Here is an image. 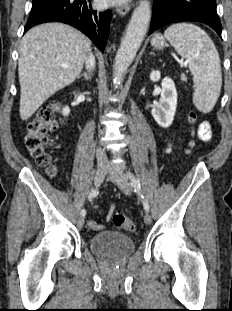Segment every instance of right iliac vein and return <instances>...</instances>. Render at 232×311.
<instances>
[{
    "instance_id": "obj_1",
    "label": "right iliac vein",
    "mask_w": 232,
    "mask_h": 311,
    "mask_svg": "<svg viewBox=\"0 0 232 311\" xmlns=\"http://www.w3.org/2000/svg\"><path fill=\"white\" fill-rule=\"evenodd\" d=\"M106 174H107V168L106 167H99L96 171V174H95V178H94V184L96 187H99L105 177H106ZM77 224L79 227H82L84 225V217H80L78 220H77Z\"/></svg>"
}]
</instances>
